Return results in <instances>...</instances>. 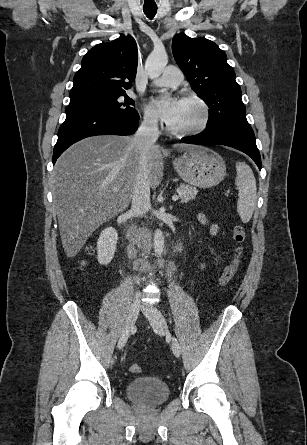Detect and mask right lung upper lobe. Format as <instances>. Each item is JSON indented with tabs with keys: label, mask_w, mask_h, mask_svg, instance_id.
Returning a JSON list of instances; mask_svg holds the SVG:
<instances>
[{
	"label": "right lung upper lobe",
	"mask_w": 307,
	"mask_h": 445,
	"mask_svg": "<svg viewBox=\"0 0 307 445\" xmlns=\"http://www.w3.org/2000/svg\"><path fill=\"white\" fill-rule=\"evenodd\" d=\"M137 63V45L130 35L96 45L81 61L70 98L125 93L135 79Z\"/></svg>",
	"instance_id": "right-lung-upper-lobe-1"
}]
</instances>
